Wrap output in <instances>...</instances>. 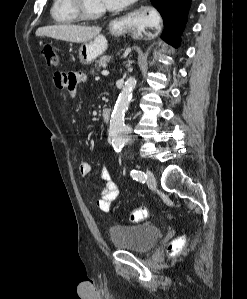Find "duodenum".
I'll return each instance as SVG.
<instances>
[{
    "label": "duodenum",
    "instance_id": "duodenum-1",
    "mask_svg": "<svg viewBox=\"0 0 247 299\" xmlns=\"http://www.w3.org/2000/svg\"><path fill=\"white\" fill-rule=\"evenodd\" d=\"M102 120L104 121V122H109L110 121V118H111V109H109V108H106V109H104L103 111H102Z\"/></svg>",
    "mask_w": 247,
    "mask_h": 299
}]
</instances>
